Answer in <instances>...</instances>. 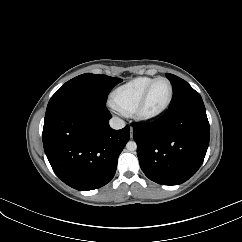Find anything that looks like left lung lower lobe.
Returning a JSON list of instances; mask_svg holds the SVG:
<instances>
[{
	"mask_svg": "<svg viewBox=\"0 0 242 242\" xmlns=\"http://www.w3.org/2000/svg\"><path fill=\"white\" fill-rule=\"evenodd\" d=\"M141 169L152 181L178 185L203 163L209 145V122L202 99L169 107L158 120L135 125Z\"/></svg>",
	"mask_w": 242,
	"mask_h": 242,
	"instance_id": "0a47b994",
	"label": "left lung lower lobe"
}]
</instances>
